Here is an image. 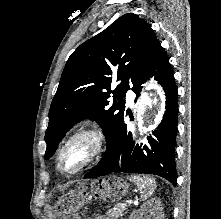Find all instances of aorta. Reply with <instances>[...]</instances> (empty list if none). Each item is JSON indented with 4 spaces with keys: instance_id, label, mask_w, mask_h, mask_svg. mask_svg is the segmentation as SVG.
Wrapping results in <instances>:
<instances>
[{
    "instance_id": "aorta-1",
    "label": "aorta",
    "mask_w": 221,
    "mask_h": 219,
    "mask_svg": "<svg viewBox=\"0 0 221 219\" xmlns=\"http://www.w3.org/2000/svg\"><path fill=\"white\" fill-rule=\"evenodd\" d=\"M158 98V94L156 93L144 94L141 105V114L144 117V120L147 119L148 116L153 113Z\"/></svg>"
}]
</instances>
